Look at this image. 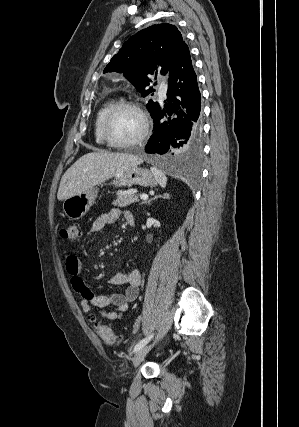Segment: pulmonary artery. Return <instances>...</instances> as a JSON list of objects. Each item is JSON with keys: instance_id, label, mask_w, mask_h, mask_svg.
Here are the masks:
<instances>
[{"instance_id": "pulmonary-artery-1", "label": "pulmonary artery", "mask_w": 299, "mask_h": 427, "mask_svg": "<svg viewBox=\"0 0 299 427\" xmlns=\"http://www.w3.org/2000/svg\"><path fill=\"white\" fill-rule=\"evenodd\" d=\"M167 84L166 83H161L160 87H159V96L164 98L166 97V93H167Z\"/></svg>"}]
</instances>
